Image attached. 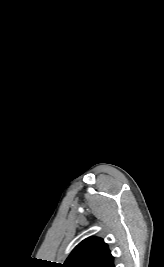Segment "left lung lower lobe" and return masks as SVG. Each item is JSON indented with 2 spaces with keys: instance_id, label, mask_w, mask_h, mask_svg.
<instances>
[{
  "instance_id": "0a47b994",
  "label": "left lung lower lobe",
  "mask_w": 164,
  "mask_h": 267,
  "mask_svg": "<svg viewBox=\"0 0 164 267\" xmlns=\"http://www.w3.org/2000/svg\"><path fill=\"white\" fill-rule=\"evenodd\" d=\"M108 267H114L113 261L110 263V265Z\"/></svg>"
}]
</instances>
